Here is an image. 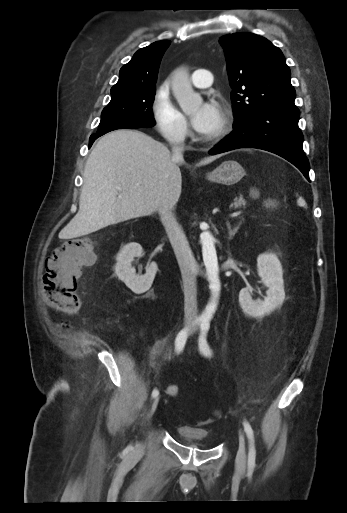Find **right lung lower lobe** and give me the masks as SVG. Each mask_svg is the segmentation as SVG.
<instances>
[{
    "label": "right lung lower lobe",
    "instance_id": "right-lung-lower-lobe-1",
    "mask_svg": "<svg viewBox=\"0 0 347 513\" xmlns=\"http://www.w3.org/2000/svg\"><path fill=\"white\" fill-rule=\"evenodd\" d=\"M134 128H137V127H129V128H126V129H134ZM109 132V131H108ZM107 132H103V133H96V134H93L91 137H90V140H89V148L91 147L92 143L95 141V139H97L98 137H100L101 135L105 134Z\"/></svg>",
    "mask_w": 347,
    "mask_h": 513
}]
</instances>
